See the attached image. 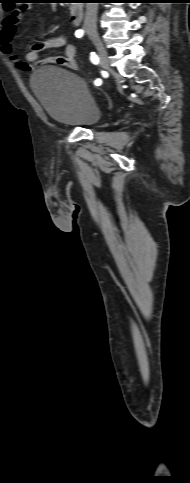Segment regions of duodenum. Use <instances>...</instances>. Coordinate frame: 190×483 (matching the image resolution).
<instances>
[{
	"instance_id": "410a0bca",
	"label": "duodenum",
	"mask_w": 190,
	"mask_h": 483,
	"mask_svg": "<svg viewBox=\"0 0 190 483\" xmlns=\"http://www.w3.org/2000/svg\"><path fill=\"white\" fill-rule=\"evenodd\" d=\"M70 20L73 25L81 23L83 19V5L79 0L73 1L69 8Z\"/></svg>"
}]
</instances>
